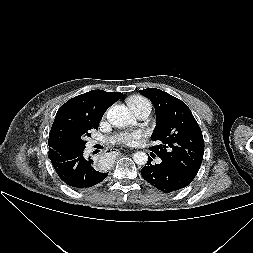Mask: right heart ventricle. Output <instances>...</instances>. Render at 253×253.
<instances>
[{"label":"right heart ventricle","mask_w":253,"mask_h":253,"mask_svg":"<svg viewBox=\"0 0 253 253\" xmlns=\"http://www.w3.org/2000/svg\"><path fill=\"white\" fill-rule=\"evenodd\" d=\"M127 103L130 108L137 107V106L144 105V104H150V102L147 99H145L141 96H131L127 100Z\"/></svg>","instance_id":"obj_1"}]
</instances>
